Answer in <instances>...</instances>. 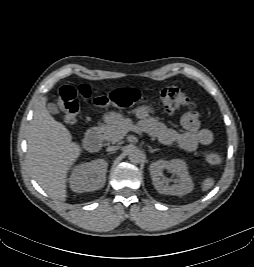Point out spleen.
<instances>
[{
	"label": "spleen",
	"mask_w": 254,
	"mask_h": 267,
	"mask_svg": "<svg viewBox=\"0 0 254 267\" xmlns=\"http://www.w3.org/2000/svg\"><path fill=\"white\" fill-rule=\"evenodd\" d=\"M214 182L215 181H214L213 178H206V179H204L203 182H202V190L203 191L209 190L210 188L213 187Z\"/></svg>",
	"instance_id": "spleen-1"
}]
</instances>
